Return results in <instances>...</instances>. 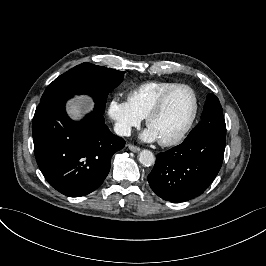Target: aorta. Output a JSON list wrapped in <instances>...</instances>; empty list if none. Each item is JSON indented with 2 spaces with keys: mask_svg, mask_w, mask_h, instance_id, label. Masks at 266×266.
Segmentation results:
<instances>
[{
  "mask_svg": "<svg viewBox=\"0 0 266 266\" xmlns=\"http://www.w3.org/2000/svg\"><path fill=\"white\" fill-rule=\"evenodd\" d=\"M139 162L146 166H152L155 163L154 154L150 150H142L139 154Z\"/></svg>",
  "mask_w": 266,
  "mask_h": 266,
  "instance_id": "1",
  "label": "aorta"
}]
</instances>
